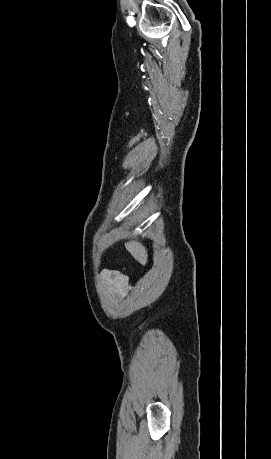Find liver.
Masks as SVG:
<instances>
[{
  "instance_id": "liver-1",
  "label": "liver",
  "mask_w": 271,
  "mask_h": 459,
  "mask_svg": "<svg viewBox=\"0 0 271 459\" xmlns=\"http://www.w3.org/2000/svg\"><path fill=\"white\" fill-rule=\"evenodd\" d=\"M126 249L132 253L133 257L139 261V263H142V265H145L147 261V249L142 245V243H139V241H127L125 243Z\"/></svg>"
}]
</instances>
